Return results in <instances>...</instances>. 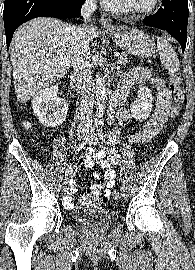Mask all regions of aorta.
<instances>
[{"label": "aorta", "mask_w": 195, "mask_h": 270, "mask_svg": "<svg viewBox=\"0 0 195 270\" xmlns=\"http://www.w3.org/2000/svg\"><path fill=\"white\" fill-rule=\"evenodd\" d=\"M95 104L97 116L102 117L106 104V85L105 79L100 72L96 73Z\"/></svg>", "instance_id": "1"}]
</instances>
